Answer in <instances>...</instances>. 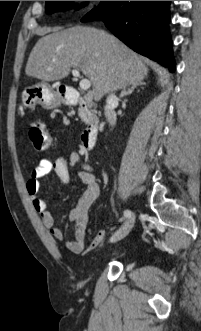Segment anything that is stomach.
<instances>
[{"label": "stomach", "mask_w": 201, "mask_h": 331, "mask_svg": "<svg viewBox=\"0 0 201 331\" xmlns=\"http://www.w3.org/2000/svg\"><path fill=\"white\" fill-rule=\"evenodd\" d=\"M22 104L30 109H35L37 105L45 109H54L59 105V99L53 88L40 82L25 88L21 95Z\"/></svg>", "instance_id": "obj_1"}]
</instances>
